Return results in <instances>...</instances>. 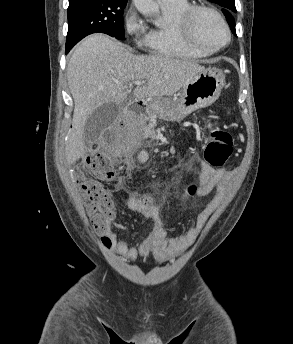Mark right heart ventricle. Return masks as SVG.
<instances>
[{
  "mask_svg": "<svg viewBox=\"0 0 293 344\" xmlns=\"http://www.w3.org/2000/svg\"><path fill=\"white\" fill-rule=\"evenodd\" d=\"M192 6L189 0H176L169 4H162L167 23L148 31L144 47L151 54L165 58L197 60L208 56L189 47L177 30L178 19Z\"/></svg>",
  "mask_w": 293,
  "mask_h": 344,
  "instance_id": "1",
  "label": "right heart ventricle"
}]
</instances>
